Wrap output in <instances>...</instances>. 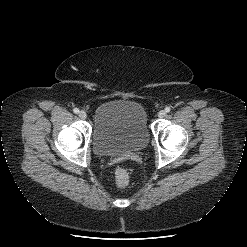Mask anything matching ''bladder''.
Returning a JSON list of instances; mask_svg holds the SVG:
<instances>
[{"label":"bladder","instance_id":"obj_1","mask_svg":"<svg viewBox=\"0 0 247 247\" xmlns=\"http://www.w3.org/2000/svg\"><path fill=\"white\" fill-rule=\"evenodd\" d=\"M149 142L144 106L114 99L100 104L93 116L92 144L100 156H123L143 150Z\"/></svg>","mask_w":247,"mask_h":247}]
</instances>
